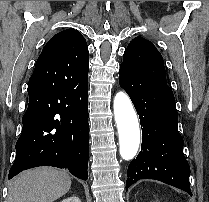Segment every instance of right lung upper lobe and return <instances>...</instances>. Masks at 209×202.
I'll list each match as a JSON object with an SVG mask.
<instances>
[{"label":"right lung upper lobe","mask_w":209,"mask_h":202,"mask_svg":"<svg viewBox=\"0 0 209 202\" xmlns=\"http://www.w3.org/2000/svg\"><path fill=\"white\" fill-rule=\"evenodd\" d=\"M38 60L53 61L54 71L76 84L87 81L89 52L85 38L75 29L54 35L44 46Z\"/></svg>","instance_id":"1"}]
</instances>
